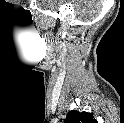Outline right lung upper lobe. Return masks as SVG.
Segmentation results:
<instances>
[{"instance_id": "1", "label": "right lung upper lobe", "mask_w": 124, "mask_h": 123, "mask_svg": "<svg viewBox=\"0 0 124 123\" xmlns=\"http://www.w3.org/2000/svg\"><path fill=\"white\" fill-rule=\"evenodd\" d=\"M94 117L88 112L72 110L68 113L64 123H94Z\"/></svg>"}]
</instances>
